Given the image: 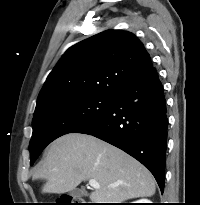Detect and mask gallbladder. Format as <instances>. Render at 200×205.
<instances>
[{
  "mask_svg": "<svg viewBox=\"0 0 200 205\" xmlns=\"http://www.w3.org/2000/svg\"><path fill=\"white\" fill-rule=\"evenodd\" d=\"M87 193L84 190L81 189H73L70 191V195L74 198L81 197L83 195H86Z\"/></svg>",
  "mask_w": 200,
  "mask_h": 205,
  "instance_id": "gallbladder-1",
  "label": "gallbladder"
}]
</instances>
